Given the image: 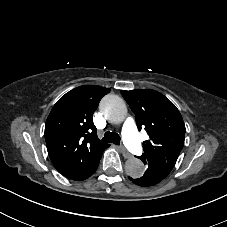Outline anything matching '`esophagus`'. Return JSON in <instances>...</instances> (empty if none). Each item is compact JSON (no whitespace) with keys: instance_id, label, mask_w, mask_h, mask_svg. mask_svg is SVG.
Returning <instances> with one entry per match:
<instances>
[{"instance_id":"1","label":"esophagus","mask_w":227,"mask_h":227,"mask_svg":"<svg viewBox=\"0 0 227 227\" xmlns=\"http://www.w3.org/2000/svg\"><path fill=\"white\" fill-rule=\"evenodd\" d=\"M119 150L126 159L133 157L132 154L129 153L125 147L121 146V147H119Z\"/></svg>"}]
</instances>
